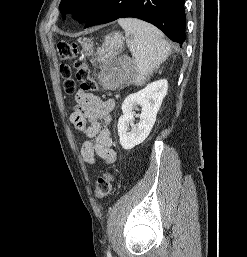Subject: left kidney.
<instances>
[{
    "instance_id": "1",
    "label": "left kidney",
    "mask_w": 247,
    "mask_h": 257,
    "mask_svg": "<svg viewBox=\"0 0 247 257\" xmlns=\"http://www.w3.org/2000/svg\"><path fill=\"white\" fill-rule=\"evenodd\" d=\"M167 90V80L161 79L126 97L121 107L123 115L118 120L120 144L125 150L134 148L148 137ZM137 106L141 107L140 120L137 126L130 130L129 124L135 116L133 110Z\"/></svg>"
}]
</instances>
